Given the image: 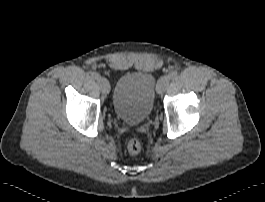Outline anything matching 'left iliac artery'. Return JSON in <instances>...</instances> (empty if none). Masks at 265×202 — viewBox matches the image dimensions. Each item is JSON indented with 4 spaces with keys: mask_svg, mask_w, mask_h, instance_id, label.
I'll use <instances>...</instances> for the list:
<instances>
[{
    "mask_svg": "<svg viewBox=\"0 0 265 202\" xmlns=\"http://www.w3.org/2000/svg\"><path fill=\"white\" fill-rule=\"evenodd\" d=\"M177 76V71H171L170 73H169V77L170 78H175Z\"/></svg>",
    "mask_w": 265,
    "mask_h": 202,
    "instance_id": "left-iliac-artery-1",
    "label": "left iliac artery"
}]
</instances>
